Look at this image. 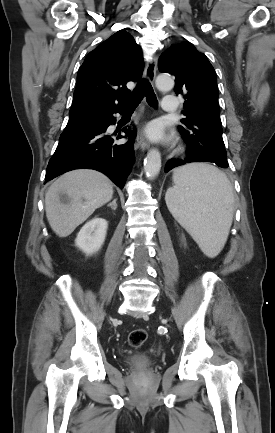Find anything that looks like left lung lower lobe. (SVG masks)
Wrapping results in <instances>:
<instances>
[{
    "mask_svg": "<svg viewBox=\"0 0 275 433\" xmlns=\"http://www.w3.org/2000/svg\"><path fill=\"white\" fill-rule=\"evenodd\" d=\"M186 162H195V161H193V159H191V158H189V157H188L185 161H182V160H174V159H172V160H170V161L167 163L166 168H165V172L170 171V170L173 169L174 167H177V166L183 165V164H185ZM225 168H226V167H225Z\"/></svg>",
    "mask_w": 275,
    "mask_h": 433,
    "instance_id": "obj_1",
    "label": "left lung lower lobe"
}]
</instances>
